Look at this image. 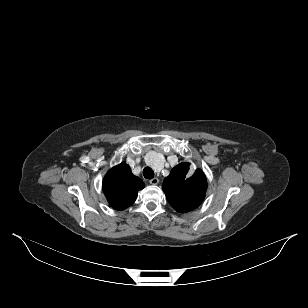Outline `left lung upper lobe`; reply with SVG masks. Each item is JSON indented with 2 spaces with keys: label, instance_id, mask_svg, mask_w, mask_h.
I'll use <instances>...</instances> for the list:
<instances>
[{
  "label": "left lung upper lobe",
  "instance_id": "left-lung-upper-lobe-1",
  "mask_svg": "<svg viewBox=\"0 0 308 308\" xmlns=\"http://www.w3.org/2000/svg\"><path fill=\"white\" fill-rule=\"evenodd\" d=\"M190 163L175 166L163 181V191L170 205L180 213L197 208L206 195L207 182L202 170L193 176L189 173Z\"/></svg>",
  "mask_w": 308,
  "mask_h": 308
}]
</instances>
